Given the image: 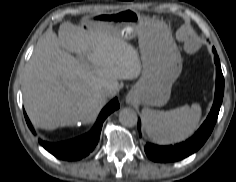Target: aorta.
Instances as JSON below:
<instances>
[{"label": "aorta", "instance_id": "aorta-1", "mask_svg": "<svg viewBox=\"0 0 236 182\" xmlns=\"http://www.w3.org/2000/svg\"><path fill=\"white\" fill-rule=\"evenodd\" d=\"M137 114L130 108H123L119 113V121L126 127H134L137 124Z\"/></svg>", "mask_w": 236, "mask_h": 182}]
</instances>
